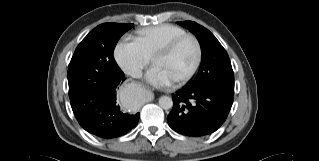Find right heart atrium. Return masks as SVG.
Returning a JSON list of instances; mask_svg holds the SVG:
<instances>
[{"label":"right heart atrium","mask_w":319,"mask_h":161,"mask_svg":"<svg viewBox=\"0 0 319 161\" xmlns=\"http://www.w3.org/2000/svg\"><path fill=\"white\" fill-rule=\"evenodd\" d=\"M114 57L118 65L132 76H139L150 62L138 45L128 39L115 45Z\"/></svg>","instance_id":"obj_1"}]
</instances>
